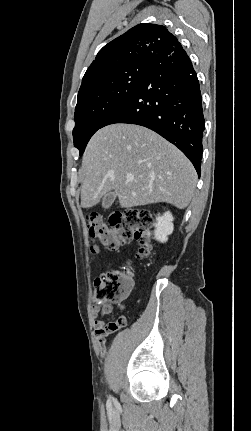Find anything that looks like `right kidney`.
I'll return each instance as SVG.
<instances>
[{"label": "right kidney", "instance_id": "ca27d5eb", "mask_svg": "<svg viewBox=\"0 0 251 431\" xmlns=\"http://www.w3.org/2000/svg\"><path fill=\"white\" fill-rule=\"evenodd\" d=\"M173 220L174 218L169 211L165 212L162 216L158 214L156 223L154 224L156 240L162 243L168 240V235L172 234L174 230Z\"/></svg>", "mask_w": 251, "mask_h": 431}]
</instances>
